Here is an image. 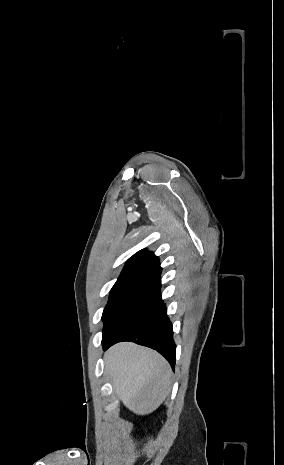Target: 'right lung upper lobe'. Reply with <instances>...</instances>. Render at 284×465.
Returning a JSON list of instances; mask_svg holds the SVG:
<instances>
[{
	"mask_svg": "<svg viewBox=\"0 0 284 465\" xmlns=\"http://www.w3.org/2000/svg\"><path fill=\"white\" fill-rule=\"evenodd\" d=\"M162 268L159 259L145 249L134 254L127 262L119 278L159 281Z\"/></svg>",
	"mask_w": 284,
	"mask_h": 465,
	"instance_id": "1",
	"label": "right lung upper lobe"
}]
</instances>
